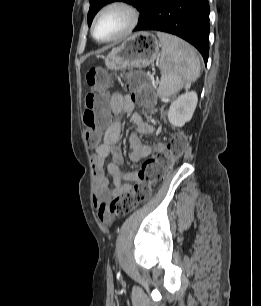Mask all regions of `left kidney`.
<instances>
[{
  "instance_id": "left-kidney-1",
  "label": "left kidney",
  "mask_w": 261,
  "mask_h": 306,
  "mask_svg": "<svg viewBox=\"0 0 261 306\" xmlns=\"http://www.w3.org/2000/svg\"><path fill=\"white\" fill-rule=\"evenodd\" d=\"M198 97L196 92H186L174 100L168 110V120L171 125L182 127L189 122L197 106Z\"/></svg>"
}]
</instances>
